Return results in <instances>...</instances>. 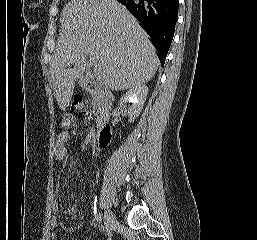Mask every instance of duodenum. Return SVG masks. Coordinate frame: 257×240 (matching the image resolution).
<instances>
[{
	"label": "duodenum",
	"mask_w": 257,
	"mask_h": 240,
	"mask_svg": "<svg viewBox=\"0 0 257 240\" xmlns=\"http://www.w3.org/2000/svg\"><path fill=\"white\" fill-rule=\"evenodd\" d=\"M83 82L86 89L91 88L87 80H84ZM111 136H112L111 125L108 122L102 123L96 135V140H95L96 146L99 149L106 148L111 141Z\"/></svg>",
	"instance_id": "duodenum-1"
}]
</instances>
